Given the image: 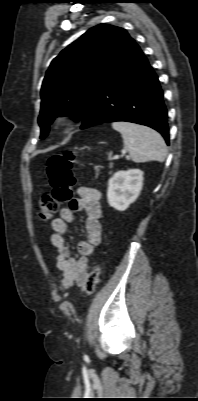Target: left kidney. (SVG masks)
Wrapping results in <instances>:
<instances>
[{"label": "left kidney", "instance_id": "left-kidney-1", "mask_svg": "<svg viewBox=\"0 0 198 401\" xmlns=\"http://www.w3.org/2000/svg\"><path fill=\"white\" fill-rule=\"evenodd\" d=\"M143 179V172L139 169L116 172L108 182L109 205L118 211L126 210L138 198Z\"/></svg>", "mask_w": 198, "mask_h": 401}]
</instances>
